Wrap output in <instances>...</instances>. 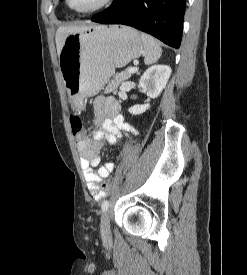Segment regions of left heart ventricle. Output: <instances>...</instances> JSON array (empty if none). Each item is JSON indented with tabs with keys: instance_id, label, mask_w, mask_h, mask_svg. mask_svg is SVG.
<instances>
[{
	"instance_id": "1",
	"label": "left heart ventricle",
	"mask_w": 247,
	"mask_h": 275,
	"mask_svg": "<svg viewBox=\"0 0 247 275\" xmlns=\"http://www.w3.org/2000/svg\"><path fill=\"white\" fill-rule=\"evenodd\" d=\"M71 7L77 10H86L97 5L101 0H69Z\"/></svg>"
}]
</instances>
